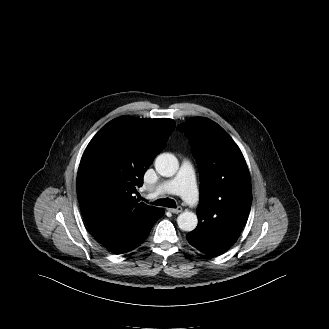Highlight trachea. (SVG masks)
Segmentation results:
<instances>
[{
  "instance_id": "3493384b",
  "label": "trachea",
  "mask_w": 329,
  "mask_h": 329,
  "mask_svg": "<svg viewBox=\"0 0 329 329\" xmlns=\"http://www.w3.org/2000/svg\"><path fill=\"white\" fill-rule=\"evenodd\" d=\"M152 204L157 206H166L169 208H176V202L173 199L165 198V199H158L154 201Z\"/></svg>"
}]
</instances>
